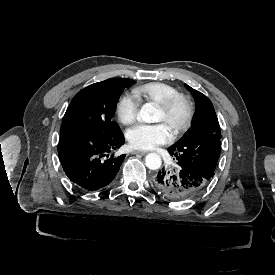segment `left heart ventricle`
Listing matches in <instances>:
<instances>
[{"mask_svg": "<svg viewBox=\"0 0 275 275\" xmlns=\"http://www.w3.org/2000/svg\"><path fill=\"white\" fill-rule=\"evenodd\" d=\"M185 117V108L181 103L175 105L170 112H164L159 105L155 115V121L164 123L173 133Z\"/></svg>", "mask_w": 275, "mask_h": 275, "instance_id": "b2bd125f", "label": "left heart ventricle"}]
</instances>
